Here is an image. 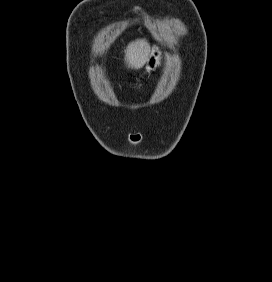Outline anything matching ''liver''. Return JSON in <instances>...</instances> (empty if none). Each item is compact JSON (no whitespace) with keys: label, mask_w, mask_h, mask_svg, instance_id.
Returning <instances> with one entry per match:
<instances>
[{"label":"liver","mask_w":272,"mask_h":282,"mask_svg":"<svg viewBox=\"0 0 272 282\" xmlns=\"http://www.w3.org/2000/svg\"><path fill=\"white\" fill-rule=\"evenodd\" d=\"M124 52L128 68L140 69L148 60L150 45L146 39H137L129 43Z\"/></svg>","instance_id":"6515ba94"}]
</instances>
